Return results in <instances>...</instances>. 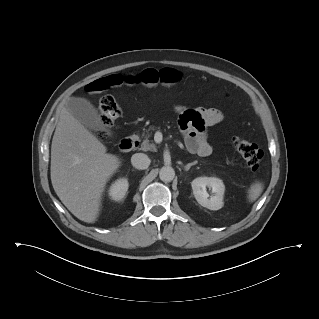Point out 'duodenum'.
I'll use <instances>...</instances> for the list:
<instances>
[{"label":"duodenum","instance_id":"410a0bca","mask_svg":"<svg viewBox=\"0 0 319 319\" xmlns=\"http://www.w3.org/2000/svg\"><path fill=\"white\" fill-rule=\"evenodd\" d=\"M136 139L134 137H127L121 140L119 148L123 152L131 151L136 146Z\"/></svg>","mask_w":319,"mask_h":319}]
</instances>
